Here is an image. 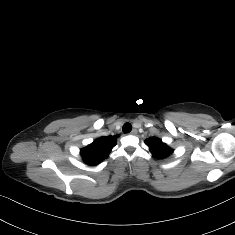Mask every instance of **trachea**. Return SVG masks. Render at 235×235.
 <instances>
[{
	"label": "trachea",
	"mask_w": 235,
	"mask_h": 235,
	"mask_svg": "<svg viewBox=\"0 0 235 235\" xmlns=\"http://www.w3.org/2000/svg\"><path fill=\"white\" fill-rule=\"evenodd\" d=\"M132 130V125L130 123H125L124 126L122 127V131L124 133H129Z\"/></svg>",
	"instance_id": "obj_1"
}]
</instances>
